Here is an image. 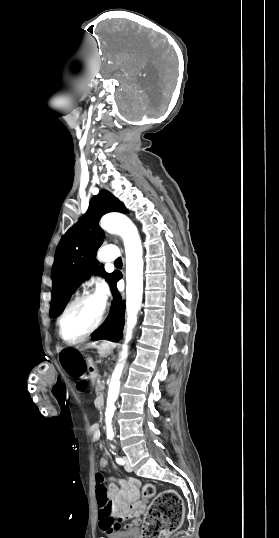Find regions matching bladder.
<instances>
[{
  "label": "bladder",
  "mask_w": 279,
  "mask_h": 538,
  "mask_svg": "<svg viewBox=\"0 0 279 538\" xmlns=\"http://www.w3.org/2000/svg\"><path fill=\"white\" fill-rule=\"evenodd\" d=\"M108 538H139L138 532H109Z\"/></svg>",
  "instance_id": "bladder-1"
}]
</instances>
